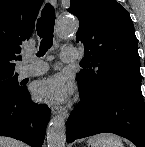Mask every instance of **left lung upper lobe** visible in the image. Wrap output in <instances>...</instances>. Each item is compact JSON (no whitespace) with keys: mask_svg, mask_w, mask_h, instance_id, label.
<instances>
[{"mask_svg":"<svg viewBox=\"0 0 145 147\" xmlns=\"http://www.w3.org/2000/svg\"><path fill=\"white\" fill-rule=\"evenodd\" d=\"M68 11L79 19L76 41L84 45L87 69L78 84L94 94L116 82L141 80L137 38L129 13L115 0H71Z\"/></svg>","mask_w":145,"mask_h":147,"instance_id":"left-lung-upper-lobe-1","label":"left lung upper lobe"}]
</instances>
